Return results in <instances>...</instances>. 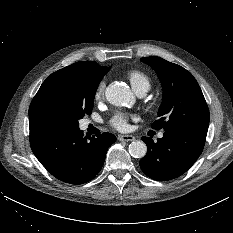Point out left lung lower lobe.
Instances as JSON below:
<instances>
[{"label":"left lung lower lobe","mask_w":233,"mask_h":233,"mask_svg":"<svg viewBox=\"0 0 233 233\" xmlns=\"http://www.w3.org/2000/svg\"><path fill=\"white\" fill-rule=\"evenodd\" d=\"M207 129L183 127L165 131L154 143L142 137L147 154L140 160L142 171L150 178L167 181L185 173L203 151Z\"/></svg>","instance_id":"obj_1"}]
</instances>
